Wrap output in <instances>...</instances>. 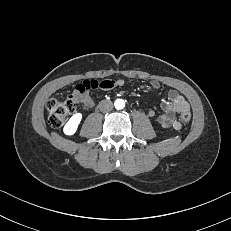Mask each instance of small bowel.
Returning <instances> with one entry per match:
<instances>
[{
	"instance_id": "1",
	"label": "small bowel",
	"mask_w": 231,
	"mask_h": 231,
	"mask_svg": "<svg viewBox=\"0 0 231 231\" xmlns=\"http://www.w3.org/2000/svg\"><path fill=\"white\" fill-rule=\"evenodd\" d=\"M124 84V80H86L75 87L71 97L75 100L76 103L81 104L86 109H90L94 105V101L89 94L90 89L100 88L107 90L116 86H123ZM151 86L154 89H158L160 87V83L156 80H152ZM168 98L170 102L162 103L161 106L164 112L157 117V122L162 127L179 130L181 128V123L176 119L175 116L177 113L189 111V104L185 98L176 90H170L168 93ZM147 114L149 117L155 116V112L153 110L148 111Z\"/></svg>"
}]
</instances>
